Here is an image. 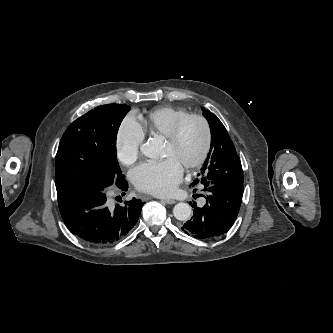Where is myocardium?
<instances>
[{
	"mask_svg": "<svg viewBox=\"0 0 333 333\" xmlns=\"http://www.w3.org/2000/svg\"><path fill=\"white\" fill-rule=\"evenodd\" d=\"M198 121L204 130V143H203V148L202 151L199 155V157L192 163H189L185 165V169L187 171H193L196 170L197 168L201 167L211 150V145H212V129L209 121L202 115L200 114H188L181 119H179L171 128L170 132L168 135L165 137L166 142L169 143L170 145H175L180 137V134L182 132L183 127L185 126L186 123L189 121Z\"/></svg>",
	"mask_w": 333,
	"mask_h": 333,
	"instance_id": "1",
	"label": "myocardium"
}]
</instances>
